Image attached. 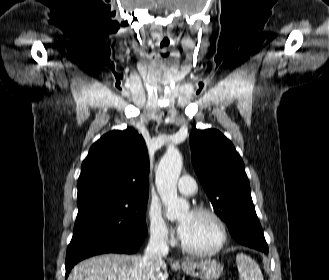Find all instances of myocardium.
Segmentation results:
<instances>
[{
	"instance_id": "myocardium-1",
	"label": "myocardium",
	"mask_w": 329,
	"mask_h": 280,
	"mask_svg": "<svg viewBox=\"0 0 329 280\" xmlns=\"http://www.w3.org/2000/svg\"><path fill=\"white\" fill-rule=\"evenodd\" d=\"M191 212L194 214H200V215H206L210 217L218 226L219 229V240L217 244L210 248V249H195L190 246H188L181 238L180 240V246L183 251H185L187 254L193 255V256H200V257H205V256H213L219 253L224 246L227 243L228 240V230L227 226L222 219V217L213 209L205 206H195L191 209Z\"/></svg>"
}]
</instances>
